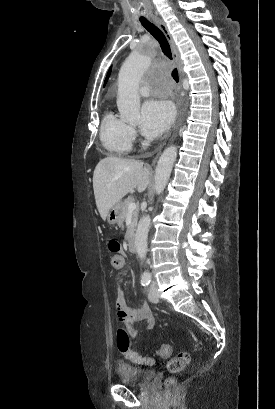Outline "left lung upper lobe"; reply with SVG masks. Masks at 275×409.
Instances as JSON below:
<instances>
[{"label":"left lung upper lobe","mask_w":275,"mask_h":409,"mask_svg":"<svg viewBox=\"0 0 275 409\" xmlns=\"http://www.w3.org/2000/svg\"><path fill=\"white\" fill-rule=\"evenodd\" d=\"M110 73H111V67H110V69H109V71L107 73V76H106V79H105V82H104V86L106 85V82H107V80H108V78L110 76Z\"/></svg>","instance_id":"1"}]
</instances>
